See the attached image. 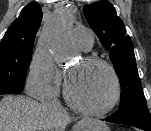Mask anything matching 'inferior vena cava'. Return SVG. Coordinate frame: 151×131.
<instances>
[{
    "label": "inferior vena cava",
    "mask_w": 151,
    "mask_h": 131,
    "mask_svg": "<svg viewBox=\"0 0 151 131\" xmlns=\"http://www.w3.org/2000/svg\"><path fill=\"white\" fill-rule=\"evenodd\" d=\"M41 104L44 108L58 110L61 108L60 102L54 93H46L41 99Z\"/></svg>",
    "instance_id": "inferior-vena-cava-1"
}]
</instances>
